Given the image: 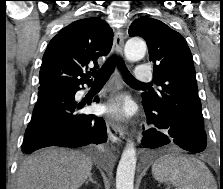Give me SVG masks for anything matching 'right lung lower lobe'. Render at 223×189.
I'll return each mask as SVG.
<instances>
[{
	"instance_id": "98d812e1",
	"label": "right lung lower lobe",
	"mask_w": 223,
	"mask_h": 189,
	"mask_svg": "<svg viewBox=\"0 0 223 189\" xmlns=\"http://www.w3.org/2000/svg\"><path fill=\"white\" fill-rule=\"evenodd\" d=\"M78 90L79 87L38 92L22 144L23 153L48 146L77 148L107 140L106 124L101 117L78 113L84 106L75 101Z\"/></svg>"
}]
</instances>
